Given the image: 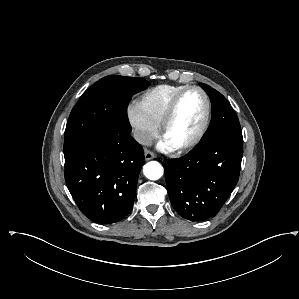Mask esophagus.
I'll list each match as a JSON object with an SVG mask.
<instances>
[{"label": "esophagus", "instance_id": "esophagus-1", "mask_svg": "<svg viewBox=\"0 0 299 299\" xmlns=\"http://www.w3.org/2000/svg\"><path fill=\"white\" fill-rule=\"evenodd\" d=\"M144 157H145V160L148 161V160L155 158L156 155L153 152L146 150L144 153Z\"/></svg>", "mask_w": 299, "mask_h": 299}]
</instances>
